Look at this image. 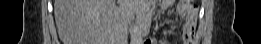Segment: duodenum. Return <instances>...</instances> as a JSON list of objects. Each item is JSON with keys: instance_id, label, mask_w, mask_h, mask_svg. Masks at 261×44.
<instances>
[{"instance_id": "duodenum-1", "label": "duodenum", "mask_w": 261, "mask_h": 44, "mask_svg": "<svg viewBox=\"0 0 261 44\" xmlns=\"http://www.w3.org/2000/svg\"><path fill=\"white\" fill-rule=\"evenodd\" d=\"M150 22H151V18L147 15V13L145 11H140L138 16V27H139V33L141 35H146L149 33Z\"/></svg>"}]
</instances>
